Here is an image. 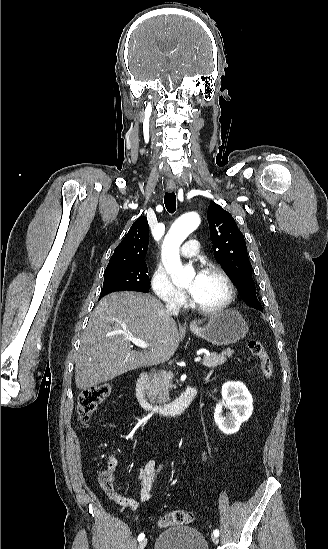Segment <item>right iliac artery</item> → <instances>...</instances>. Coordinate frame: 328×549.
<instances>
[{
    "label": "right iliac artery",
    "instance_id": "82829eb1",
    "mask_svg": "<svg viewBox=\"0 0 328 549\" xmlns=\"http://www.w3.org/2000/svg\"><path fill=\"white\" fill-rule=\"evenodd\" d=\"M145 535L144 533H141L139 536H138V541H141L142 539H144Z\"/></svg>",
    "mask_w": 328,
    "mask_h": 549
}]
</instances>
